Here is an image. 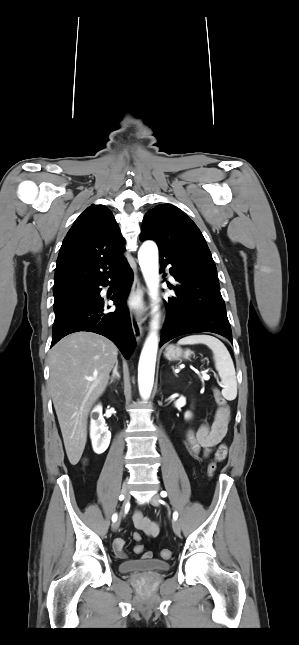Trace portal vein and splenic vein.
Wrapping results in <instances>:
<instances>
[{"instance_id": "1", "label": "portal vein and splenic vein", "mask_w": 299, "mask_h": 645, "mask_svg": "<svg viewBox=\"0 0 299 645\" xmlns=\"http://www.w3.org/2000/svg\"><path fill=\"white\" fill-rule=\"evenodd\" d=\"M203 374H204V372H203ZM204 377H205L206 379H209V377H208L206 374H204Z\"/></svg>"}]
</instances>
